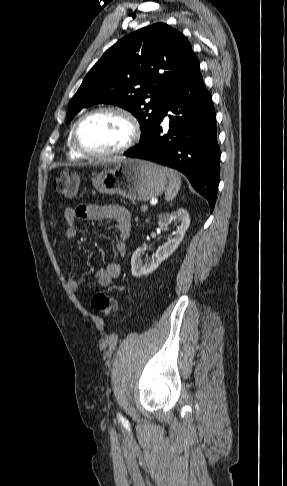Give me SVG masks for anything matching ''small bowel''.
I'll return each mask as SVG.
<instances>
[{
  "label": "small bowel",
  "mask_w": 287,
  "mask_h": 486,
  "mask_svg": "<svg viewBox=\"0 0 287 486\" xmlns=\"http://www.w3.org/2000/svg\"><path fill=\"white\" fill-rule=\"evenodd\" d=\"M80 220H111L115 225V250L119 256H124L127 252V240L131 232L130 211L121 205H80L76 208H67L64 212L66 228L62 235V242L65 246V259L70 262L71 254L68 247L69 242L76 236L78 228L76 221ZM122 271L119 262H112L105 268H100L95 272L97 283L106 287L117 278ZM66 282L68 288L73 293L79 292V283L74 278V270L71 265L66 269Z\"/></svg>",
  "instance_id": "1"
}]
</instances>
